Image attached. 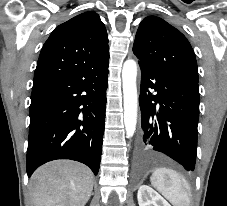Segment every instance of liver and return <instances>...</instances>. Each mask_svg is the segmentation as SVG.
I'll return each mask as SVG.
<instances>
[{
    "label": "liver",
    "instance_id": "obj_1",
    "mask_svg": "<svg viewBox=\"0 0 227 206\" xmlns=\"http://www.w3.org/2000/svg\"><path fill=\"white\" fill-rule=\"evenodd\" d=\"M33 206H85L93 189V174L85 165L58 160L39 167L31 177Z\"/></svg>",
    "mask_w": 227,
    "mask_h": 206
}]
</instances>
